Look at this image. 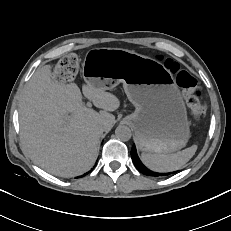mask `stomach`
<instances>
[{"mask_svg": "<svg viewBox=\"0 0 231 231\" xmlns=\"http://www.w3.org/2000/svg\"><path fill=\"white\" fill-rule=\"evenodd\" d=\"M82 69L84 80L97 88L123 83L135 106L125 121L141 151L170 154L186 145L190 123L185 103L173 75L161 63L125 49L97 48L87 53Z\"/></svg>", "mask_w": 231, "mask_h": 231, "instance_id": "stomach-1", "label": "stomach"}]
</instances>
